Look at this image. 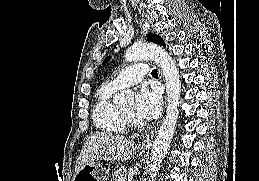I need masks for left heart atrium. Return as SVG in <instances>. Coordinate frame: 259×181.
<instances>
[{
    "label": "left heart atrium",
    "mask_w": 259,
    "mask_h": 181,
    "mask_svg": "<svg viewBox=\"0 0 259 181\" xmlns=\"http://www.w3.org/2000/svg\"><path fill=\"white\" fill-rule=\"evenodd\" d=\"M161 109V95L158 89L141 87L135 102V115L143 121L156 118Z\"/></svg>",
    "instance_id": "39dd6f15"
}]
</instances>
